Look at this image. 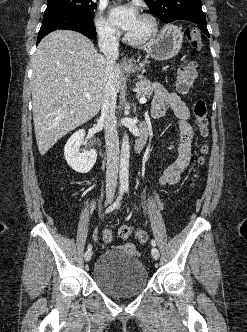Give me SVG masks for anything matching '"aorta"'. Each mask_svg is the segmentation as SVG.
<instances>
[{
    "label": "aorta",
    "instance_id": "1",
    "mask_svg": "<svg viewBox=\"0 0 247 332\" xmlns=\"http://www.w3.org/2000/svg\"><path fill=\"white\" fill-rule=\"evenodd\" d=\"M129 158H130V145L129 136L124 134L121 146L120 155V171H119V183L120 189L126 190L129 185Z\"/></svg>",
    "mask_w": 247,
    "mask_h": 332
}]
</instances>
